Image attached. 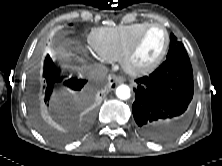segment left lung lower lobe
<instances>
[{
    "label": "left lung lower lobe",
    "instance_id": "1",
    "mask_svg": "<svg viewBox=\"0 0 222 166\" xmlns=\"http://www.w3.org/2000/svg\"><path fill=\"white\" fill-rule=\"evenodd\" d=\"M136 83L132 112L145 137L167 141L187 128L194 93L190 59H167Z\"/></svg>",
    "mask_w": 222,
    "mask_h": 166
}]
</instances>
